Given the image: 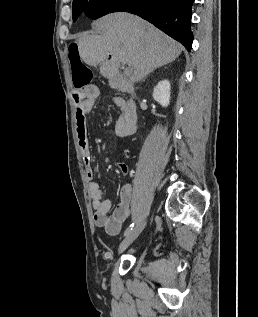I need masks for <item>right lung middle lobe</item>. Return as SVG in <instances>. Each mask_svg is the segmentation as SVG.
<instances>
[{
    "mask_svg": "<svg viewBox=\"0 0 258 317\" xmlns=\"http://www.w3.org/2000/svg\"><path fill=\"white\" fill-rule=\"evenodd\" d=\"M117 2L118 0H73V21H76L85 9L94 13L93 19L112 13Z\"/></svg>",
    "mask_w": 258,
    "mask_h": 317,
    "instance_id": "1",
    "label": "right lung middle lobe"
}]
</instances>
